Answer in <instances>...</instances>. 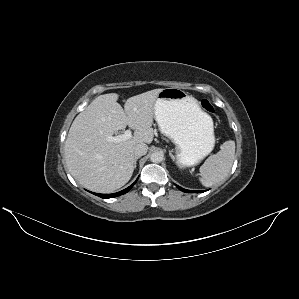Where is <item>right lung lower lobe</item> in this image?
I'll use <instances>...</instances> for the list:
<instances>
[{"mask_svg":"<svg viewBox=\"0 0 299 299\" xmlns=\"http://www.w3.org/2000/svg\"><path fill=\"white\" fill-rule=\"evenodd\" d=\"M136 183V181L132 184V185H130L128 188H126V189H124V190H122V191H120V192H117V193H114V194H95V195H97V196H99V197H101V198H113V197H117V196H120V195H122V194H125V193H127L131 188H132V186L134 185Z\"/></svg>","mask_w":299,"mask_h":299,"instance_id":"obj_1","label":"right lung lower lobe"}]
</instances>
